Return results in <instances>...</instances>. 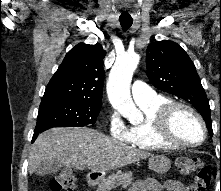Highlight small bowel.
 I'll list each match as a JSON object with an SVG mask.
<instances>
[{
    "label": "small bowel",
    "mask_w": 221,
    "mask_h": 191,
    "mask_svg": "<svg viewBox=\"0 0 221 191\" xmlns=\"http://www.w3.org/2000/svg\"><path fill=\"white\" fill-rule=\"evenodd\" d=\"M186 185L181 181L167 180L164 183H159L153 179L138 180L129 191H187Z\"/></svg>",
    "instance_id": "small-bowel-1"
}]
</instances>
